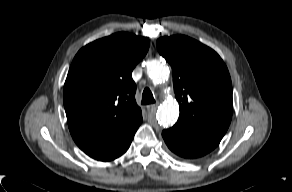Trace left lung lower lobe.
Returning a JSON list of instances; mask_svg holds the SVG:
<instances>
[{
	"label": "left lung lower lobe",
	"mask_w": 292,
	"mask_h": 192,
	"mask_svg": "<svg viewBox=\"0 0 292 192\" xmlns=\"http://www.w3.org/2000/svg\"><path fill=\"white\" fill-rule=\"evenodd\" d=\"M168 148L176 155L193 159L206 155L215 149L220 141L191 135L173 128L162 132Z\"/></svg>",
	"instance_id": "left-lung-lower-lobe-1"
}]
</instances>
